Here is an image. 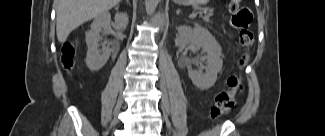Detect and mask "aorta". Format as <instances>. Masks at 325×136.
I'll list each match as a JSON object with an SVG mask.
<instances>
[{
    "label": "aorta",
    "mask_w": 325,
    "mask_h": 136,
    "mask_svg": "<svg viewBox=\"0 0 325 136\" xmlns=\"http://www.w3.org/2000/svg\"><path fill=\"white\" fill-rule=\"evenodd\" d=\"M159 0H145V8L148 15L153 14L156 10Z\"/></svg>",
    "instance_id": "aorta-1"
}]
</instances>
